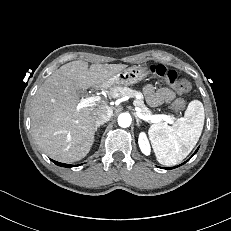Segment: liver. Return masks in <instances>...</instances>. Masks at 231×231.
Returning <instances> with one entry per match:
<instances>
[{"instance_id":"1","label":"liver","mask_w":231,"mask_h":231,"mask_svg":"<svg viewBox=\"0 0 231 231\" xmlns=\"http://www.w3.org/2000/svg\"><path fill=\"white\" fill-rule=\"evenodd\" d=\"M125 64H92L78 60L54 71L37 90L31 104L33 138L51 158L61 162L83 159L90 151L95 135L96 111L101 101L79 108L77 90L109 87L107 81Z\"/></svg>"}]
</instances>
